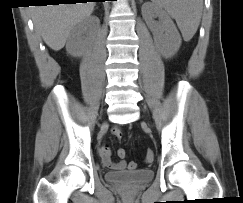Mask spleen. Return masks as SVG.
Listing matches in <instances>:
<instances>
[{
  "label": "spleen",
  "mask_w": 243,
  "mask_h": 203,
  "mask_svg": "<svg viewBox=\"0 0 243 203\" xmlns=\"http://www.w3.org/2000/svg\"><path fill=\"white\" fill-rule=\"evenodd\" d=\"M175 19L183 39L189 41L195 35L201 21L203 0H152Z\"/></svg>",
  "instance_id": "spleen-1"
}]
</instances>
